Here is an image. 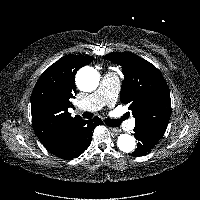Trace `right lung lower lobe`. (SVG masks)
<instances>
[{
	"mask_svg": "<svg viewBox=\"0 0 200 200\" xmlns=\"http://www.w3.org/2000/svg\"><path fill=\"white\" fill-rule=\"evenodd\" d=\"M100 124L103 122L99 117L91 120H80L48 151L66 160L78 157L90 146L92 131Z\"/></svg>",
	"mask_w": 200,
	"mask_h": 200,
	"instance_id": "1",
	"label": "right lung lower lobe"
}]
</instances>
